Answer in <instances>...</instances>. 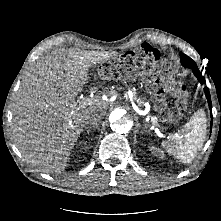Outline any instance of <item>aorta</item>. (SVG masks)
Returning a JSON list of instances; mask_svg holds the SVG:
<instances>
[{
    "instance_id": "obj_1",
    "label": "aorta",
    "mask_w": 221,
    "mask_h": 221,
    "mask_svg": "<svg viewBox=\"0 0 221 221\" xmlns=\"http://www.w3.org/2000/svg\"><path fill=\"white\" fill-rule=\"evenodd\" d=\"M109 121L111 129L117 134L129 133L135 124L133 116L124 109L114 110Z\"/></svg>"
}]
</instances>
